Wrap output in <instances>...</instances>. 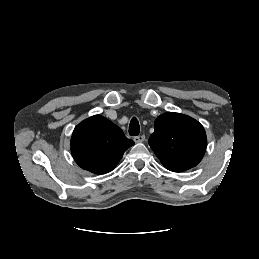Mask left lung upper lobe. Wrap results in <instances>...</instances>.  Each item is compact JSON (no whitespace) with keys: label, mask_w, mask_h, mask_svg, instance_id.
I'll list each match as a JSON object with an SVG mask.
<instances>
[{"label":"left lung upper lobe","mask_w":259,"mask_h":259,"mask_svg":"<svg viewBox=\"0 0 259 259\" xmlns=\"http://www.w3.org/2000/svg\"><path fill=\"white\" fill-rule=\"evenodd\" d=\"M149 145L166 168L190 169L203 158L207 138L203 126L195 119L166 112L155 120Z\"/></svg>","instance_id":"1"}]
</instances>
